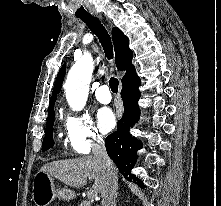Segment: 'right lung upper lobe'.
I'll list each match as a JSON object with an SVG mask.
<instances>
[{"instance_id":"cb5924a9","label":"right lung upper lobe","mask_w":221,"mask_h":206,"mask_svg":"<svg viewBox=\"0 0 221 206\" xmlns=\"http://www.w3.org/2000/svg\"><path fill=\"white\" fill-rule=\"evenodd\" d=\"M112 38H113L114 49H115L116 66L119 70H126V74L122 79V82H123L129 76L136 73L135 68L132 65L133 52L129 48L128 38L117 27H114L112 29ZM65 69H66V65L64 64L59 70V73L57 75L54 89L52 92V97L50 99V105L48 107V113H50L51 110L54 109V104L57 98V94L60 92L61 86L64 80Z\"/></svg>"}]
</instances>
